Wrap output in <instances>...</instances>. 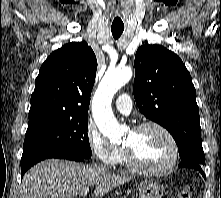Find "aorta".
Listing matches in <instances>:
<instances>
[{
    "label": "aorta",
    "mask_w": 221,
    "mask_h": 198,
    "mask_svg": "<svg viewBox=\"0 0 221 198\" xmlns=\"http://www.w3.org/2000/svg\"><path fill=\"white\" fill-rule=\"evenodd\" d=\"M132 77L131 68L108 70L102 78L92 100L94 121L100 132L110 139L118 141L124 135V128L116 120L111 103L115 93Z\"/></svg>",
    "instance_id": "obj_1"
}]
</instances>
